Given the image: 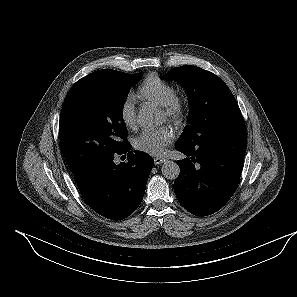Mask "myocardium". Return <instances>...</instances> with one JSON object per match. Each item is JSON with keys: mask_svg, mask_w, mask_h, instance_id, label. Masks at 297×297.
I'll use <instances>...</instances> for the list:
<instances>
[{"mask_svg": "<svg viewBox=\"0 0 297 297\" xmlns=\"http://www.w3.org/2000/svg\"><path fill=\"white\" fill-rule=\"evenodd\" d=\"M161 107L165 117L171 122L179 123L185 115L184 101L176 95Z\"/></svg>", "mask_w": 297, "mask_h": 297, "instance_id": "1", "label": "myocardium"}]
</instances>
